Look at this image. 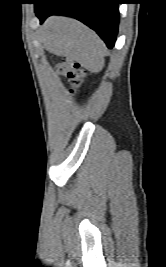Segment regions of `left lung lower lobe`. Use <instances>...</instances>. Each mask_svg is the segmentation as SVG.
<instances>
[{
  "mask_svg": "<svg viewBox=\"0 0 166 267\" xmlns=\"http://www.w3.org/2000/svg\"><path fill=\"white\" fill-rule=\"evenodd\" d=\"M33 3L41 23L51 15H68L95 30L109 49L114 46L121 0H34Z\"/></svg>",
  "mask_w": 166,
  "mask_h": 267,
  "instance_id": "1",
  "label": "left lung lower lobe"
}]
</instances>
